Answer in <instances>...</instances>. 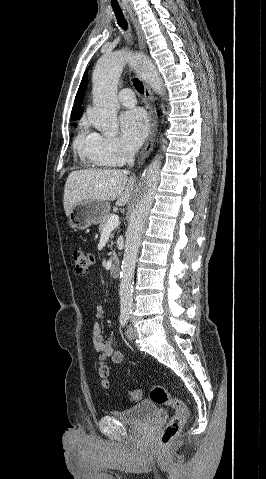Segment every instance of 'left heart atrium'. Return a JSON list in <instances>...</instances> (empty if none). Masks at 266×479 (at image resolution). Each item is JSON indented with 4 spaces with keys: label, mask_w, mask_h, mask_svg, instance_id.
Segmentation results:
<instances>
[{
    "label": "left heart atrium",
    "mask_w": 266,
    "mask_h": 479,
    "mask_svg": "<svg viewBox=\"0 0 266 479\" xmlns=\"http://www.w3.org/2000/svg\"><path fill=\"white\" fill-rule=\"evenodd\" d=\"M120 128L124 142L130 149L136 150L148 134L146 113L141 109L124 112L120 117Z\"/></svg>",
    "instance_id": "left-heart-atrium-1"
}]
</instances>
